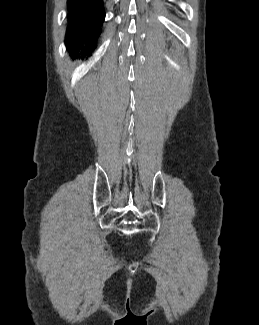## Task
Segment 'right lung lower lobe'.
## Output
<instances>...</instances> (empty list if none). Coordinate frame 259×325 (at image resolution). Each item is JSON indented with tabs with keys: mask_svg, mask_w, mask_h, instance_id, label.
<instances>
[{
	"mask_svg": "<svg viewBox=\"0 0 259 325\" xmlns=\"http://www.w3.org/2000/svg\"><path fill=\"white\" fill-rule=\"evenodd\" d=\"M66 47L87 54L96 47L105 19L103 0H67Z\"/></svg>",
	"mask_w": 259,
	"mask_h": 325,
	"instance_id": "right-lung-lower-lobe-1",
	"label": "right lung lower lobe"
}]
</instances>
